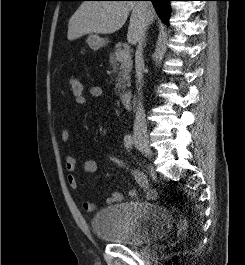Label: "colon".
<instances>
[{
    "label": "colon",
    "mask_w": 245,
    "mask_h": 265,
    "mask_svg": "<svg viewBox=\"0 0 245 265\" xmlns=\"http://www.w3.org/2000/svg\"><path fill=\"white\" fill-rule=\"evenodd\" d=\"M69 88L71 91V94L74 97V101L76 102V104H84L87 100V96L85 93V89H84V85L82 83V81L77 78V77H71L69 79ZM107 158L114 164H116L117 166L120 167H124V163L122 160H120L118 157H116L115 155H108Z\"/></svg>",
    "instance_id": "1"
}]
</instances>
